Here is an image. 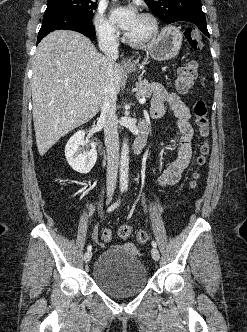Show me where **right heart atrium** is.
<instances>
[{
    "instance_id": "right-heart-atrium-1",
    "label": "right heart atrium",
    "mask_w": 247,
    "mask_h": 332,
    "mask_svg": "<svg viewBox=\"0 0 247 332\" xmlns=\"http://www.w3.org/2000/svg\"><path fill=\"white\" fill-rule=\"evenodd\" d=\"M94 27L99 40L104 44H113L116 41V29L107 19L103 9H99L94 19Z\"/></svg>"
}]
</instances>
